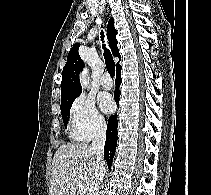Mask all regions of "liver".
<instances>
[{"mask_svg": "<svg viewBox=\"0 0 211 195\" xmlns=\"http://www.w3.org/2000/svg\"><path fill=\"white\" fill-rule=\"evenodd\" d=\"M96 160V153L88 144H62L52 160L49 194L76 195L82 184L89 195L97 173ZM103 167L105 170V161Z\"/></svg>", "mask_w": 211, "mask_h": 195, "instance_id": "1", "label": "liver"}]
</instances>
